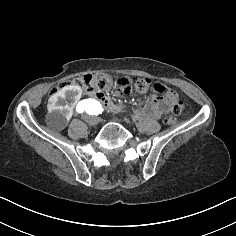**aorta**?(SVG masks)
<instances>
[{"mask_svg": "<svg viewBox=\"0 0 236 236\" xmlns=\"http://www.w3.org/2000/svg\"><path fill=\"white\" fill-rule=\"evenodd\" d=\"M100 109V103L95 99H87L83 103L82 112L84 114H89L92 112H97Z\"/></svg>", "mask_w": 236, "mask_h": 236, "instance_id": "aorta-1", "label": "aorta"}]
</instances>
